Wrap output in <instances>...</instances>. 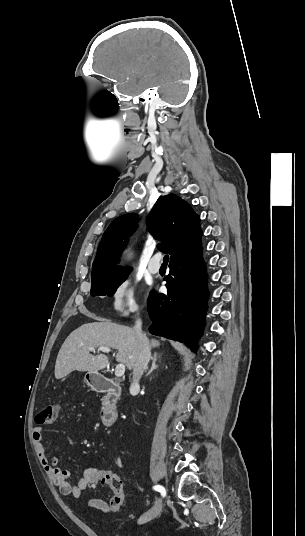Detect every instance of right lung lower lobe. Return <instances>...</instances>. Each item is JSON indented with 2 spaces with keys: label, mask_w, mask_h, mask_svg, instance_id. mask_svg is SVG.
Listing matches in <instances>:
<instances>
[{
  "label": "right lung lower lobe",
  "mask_w": 305,
  "mask_h": 536,
  "mask_svg": "<svg viewBox=\"0 0 305 536\" xmlns=\"http://www.w3.org/2000/svg\"><path fill=\"white\" fill-rule=\"evenodd\" d=\"M167 294L150 293L148 312L152 334L185 343L192 349L203 333L207 310V275L201 247L170 261ZM172 275V276H171Z\"/></svg>",
  "instance_id": "98d812e1"
}]
</instances>
